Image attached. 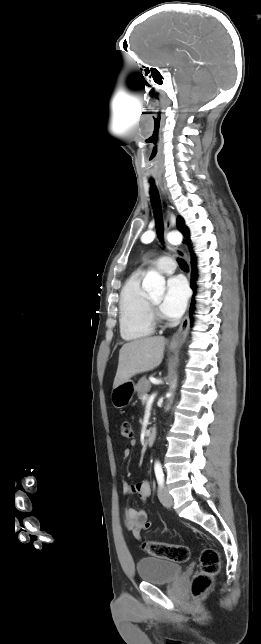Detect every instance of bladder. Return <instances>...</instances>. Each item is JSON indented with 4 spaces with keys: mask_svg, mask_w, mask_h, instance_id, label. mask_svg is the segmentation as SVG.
<instances>
[{
    "mask_svg": "<svg viewBox=\"0 0 261 644\" xmlns=\"http://www.w3.org/2000/svg\"><path fill=\"white\" fill-rule=\"evenodd\" d=\"M139 578L152 584H167L175 581L182 573L178 563L156 557L141 558L136 565Z\"/></svg>",
    "mask_w": 261,
    "mask_h": 644,
    "instance_id": "obj_1",
    "label": "bladder"
}]
</instances>
